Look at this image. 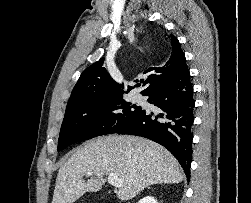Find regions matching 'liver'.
Returning a JSON list of instances; mask_svg holds the SVG:
<instances>
[{
  "label": "liver",
  "mask_w": 251,
  "mask_h": 203,
  "mask_svg": "<svg viewBox=\"0 0 251 203\" xmlns=\"http://www.w3.org/2000/svg\"><path fill=\"white\" fill-rule=\"evenodd\" d=\"M88 172L92 177L85 182ZM110 173L124 181L117 191L121 201L150 185L184 178L178 161L161 145L135 136H103L85 143L60 167L52 203H74L86 192L101 190L103 176Z\"/></svg>",
  "instance_id": "1"
}]
</instances>
